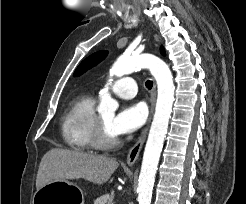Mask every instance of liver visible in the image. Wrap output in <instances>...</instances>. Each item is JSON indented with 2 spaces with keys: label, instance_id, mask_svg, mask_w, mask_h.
I'll return each instance as SVG.
<instances>
[{
  "label": "liver",
  "instance_id": "obj_1",
  "mask_svg": "<svg viewBox=\"0 0 246 204\" xmlns=\"http://www.w3.org/2000/svg\"><path fill=\"white\" fill-rule=\"evenodd\" d=\"M119 166L116 159L78 150L53 148L41 159L36 189L53 181L85 179L101 185L107 182ZM113 179L110 180L112 182Z\"/></svg>",
  "mask_w": 246,
  "mask_h": 204
}]
</instances>
